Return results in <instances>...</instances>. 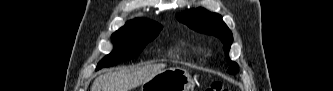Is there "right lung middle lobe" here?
<instances>
[{
	"label": "right lung middle lobe",
	"mask_w": 333,
	"mask_h": 91,
	"mask_svg": "<svg viewBox=\"0 0 333 91\" xmlns=\"http://www.w3.org/2000/svg\"><path fill=\"white\" fill-rule=\"evenodd\" d=\"M161 29L162 26L153 21L133 22L121 27L112 35L114 50L98 63L96 70L136 57Z\"/></svg>",
	"instance_id": "dd1d6c3e"
}]
</instances>
